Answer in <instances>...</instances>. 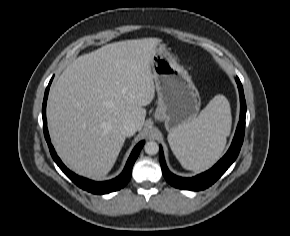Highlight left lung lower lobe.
I'll use <instances>...</instances> for the list:
<instances>
[{
  "label": "left lung lower lobe",
  "instance_id": "0a47b994",
  "mask_svg": "<svg viewBox=\"0 0 290 236\" xmlns=\"http://www.w3.org/2000/svg\"><path fill=\"white\" fill-rule=\"evenodd\" d=\"M236 82L238 84L240 94V120L229 150L223 156V158L219 160L217 164H215L210 170L192 178H182L176 176L168 170L164 160L162 147H160L159 159L162 173L167 182L172 186L182 190L192 191L206 189L214 182H216L236 160L244 139L246 117V101L244 97L243 87L238 77H236Z\"/></svg>",
  "mask_w": 290,
  "mask_h": 236
}]
</instances>
